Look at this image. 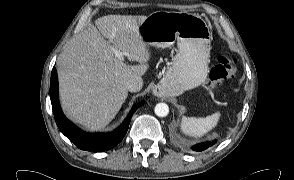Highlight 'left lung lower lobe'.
I'll return each instance as SVG.
<instances>
[{
  "mask_svg": "<svg viewBox=\"0 0 294 180\" xmlns=\"http://www.w3.org/2000/svg\"><path fill=\"white\" fill-rule=\"evenodd\" d=\"M216 141H212V142H205V143H201V144H197V145H194L192 147L193 150L195 151H203L205 149H207L208 147L212 146L215 144Z\"/></svg>",
  "mask_w": 294,
  "mask_h": 180,
  "instance_id": "0a47b994",
  "label": "left lung lower lobe"
}]
</instances>
